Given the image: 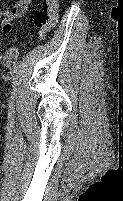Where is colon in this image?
Segmentation results:
<instances>
[{
  "label": "colon",
  "mask_w": 123,
  "mask_h": 201,
  "mask_svg": "<svg viewBox=\"0 0 123 201\" xmlns=\"http://www.w3.org/2000/svg\"><path fill=\"white\" fill-rule=\"evenodd\" d=\"M58 20V0H43L41 8L34 15V24L38 30L39 41H45Z\"/></svg>",
  "instance_id": "obj_1"
}]
</instances>
